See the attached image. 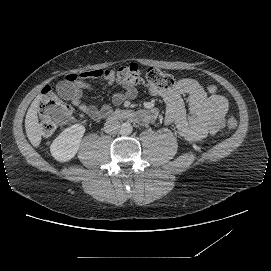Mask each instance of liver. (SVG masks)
I'll list each match as a JSON object with an SVG mask.
<instances>
[{"label":"liver","instance_id":"1","mask_svg":"<svg viewBox=\"0 0 271 271\" xmlns=\"http://www.w3.org/2000/svg\"><path fill=\"white\" fill-rule=\"evenodd\" d=\"M41 99L42 96L40 94L36 96L32 101L25 118L26 134L34 147H38L42 139V126L39 124L37 115Z\"/></svg>","mask_w":271,"mask_h":271}]
</instances>
